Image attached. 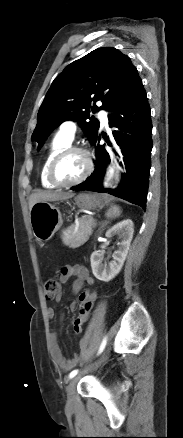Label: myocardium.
Masks as SVG:
<instances>
[{
    "label": "myocardium",
    "mask_w": 183,
    "mask_h": 438,
    "mask_svg": "<svg viewBox=\"0 0 183 438\" xmlns=\"http://www.w3.org/2000/svg\"><path fill=\"white\" fill-rule=\"evenodd\" d=\"M71 153H80L84 156L85 169H84V172L82 173V175L79 178H77L76 180L69 182V183H63V182L58 181L55 178V169H56L59 161ZM93 169H94V161H93V158H92L89 150L84 148V147H81V146L69 145V146L65 147L64 149H62L61 151H59L53 157V159L51 160V162L49 164L48 170H47V178H48L49 182L51 184H53L55 187L68 188V187H73V186H76V185L83 183L91 175V173L93 172Z\"/></svg>",
    "instance_id": "myocardium-1"
}]
</instances>
